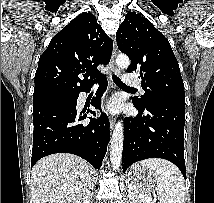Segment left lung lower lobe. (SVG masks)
Returning a JSON list of instances; mask_svg holds the SVG:
<instances>
[{
	"instance_id": "left-lung-lower-lobe-1",
	"label": "left lung lower lobe",
	"mask_w": 214,
	"mask_h": 203,
	"mask_svg": "<svg viewBox=\"0 0 214 203\" xmlns=\"http://www.w3.org/2000/svg\"><path fill=\"white\" fill-rule=\"evenodd\" d=\"M137 110L139 114L136 117L126 119L123 172L137 161L162 158L175 164L186 178L185 105L159 102Z\"/></svg>"
}]
</instances>
